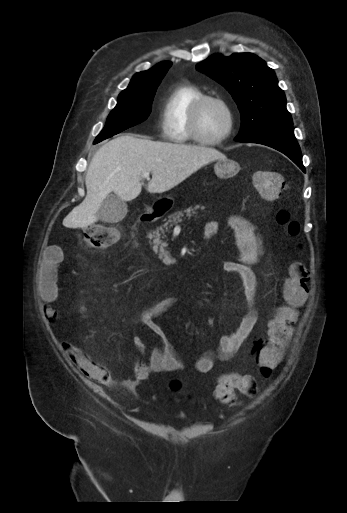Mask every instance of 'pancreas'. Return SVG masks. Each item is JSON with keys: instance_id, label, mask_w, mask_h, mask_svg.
<instances>
[{"instance_id": "obj_1", "label": "pancreas", "mask_w": 347, "mask_h": 513, "mask_svg": "<svg viewBox=\"0 0 347 513\" xmlns=\"http://www.w3.org/2000/svg\"><path fill=\"white\" fill-rule=\"evenodd\" d=\"M199 208V206H190L189 208L185 209L184 211H177L173 214H170L165 219V223L159 227L156 228L155 231H153V250L156 254L159 255L160 258H166L168 255V252L165 250V248L168 246L166 242H164L161 239V236L164 235L165 232L168 231L169 228H171L173 225H176L180 222H182L186 217L188 219L191 218V216H194L196 213V210ZM163 238V237H162Z\"/></svg>"}]
</instances>
